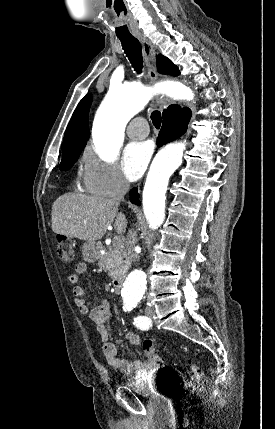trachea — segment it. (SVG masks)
<instances>
[{
	"label": "trachea",
	"instance_id": "1",
	"mask_svg": "<svg viewBox=\"0 0 275 429\" xmlns=\"http://www.w3.org/2000/svg\"><path fill=\"white\" fill-rule=\"evenodd\" d=\"M123 50L128 57L134 70L139 74L143 68L142 48L139 41L135 37H119ZM153 125L159 129L161 126V113L155 110L151 113Z\"/></svg>",
	"mask_w": 275,
	"mask_h": 429
}]
</instances>
